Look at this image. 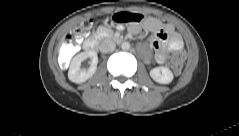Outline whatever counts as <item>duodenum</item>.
I'll return each mask as SVG.
<instances>
[{
  "label": "duodenum",
  "instance_id": "obj_1",
  "mask_svg": "<svg viewBox=\"0 0 239 136\" xmlns=\"http://www.w3.org/2000/svg\"><path fill=\"white\" fill-rule=\"evenodd\" d=\"M115 40H116L117 42H119V43L123 42V39L120 38V37H116ZM97 45H98V40L95 39V38L88 39V40H86V41L82 44L83 48H84L85 50H87V51H94V50H96Z\"/></svg>",
  "mask_w": 239,
  "mask_h": 136
}]
</instances>
